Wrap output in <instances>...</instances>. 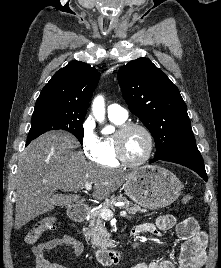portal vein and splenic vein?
Segmentation results:
<instances>
[{
  "label": "portal vein and splenic vein",
  "mask_w": 221,
  "mask_h": 268,
  "mask_svg": "<svg viewBox=\"0 0 221 268\" xmlns=\"http://www.w3.org/2000/svg\"><path fill=\"white\" fill-rule=\"evenodd\" d=\"M84 188L86 189V191H89L92 189V184L87 183L85 184ZM126 215H127V212L125 210L120 211V216H126ZM100 216L103 219L109 220L113 218V212L108 208H103L100 211Z\"/></svg>",
  "instance_id": "portal-vein-and-splenic-vein-1"
}]
</instances>
